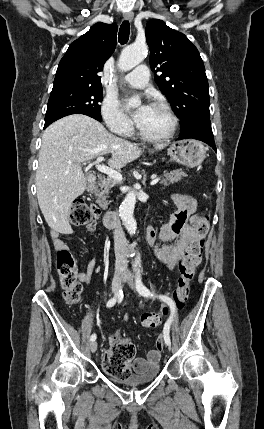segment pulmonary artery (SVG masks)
Segmentation results:
<instances>
[{"label": "pulmonary artery", "mask_w": 264, "mask_h": 429, "mask_svg": "<svg viewBox=\"0 0 264 429\" xmlns=\"http://www.w3.org/2000/svg\"><path fill=\"white\" fill-rule=\"evenodd\" d=\"M149 81V69L146 65H139L132 72L123 77V82L135 88H144Z\"/></svg>", "instance_id": "e3ab8cb5"}]
</instances>
